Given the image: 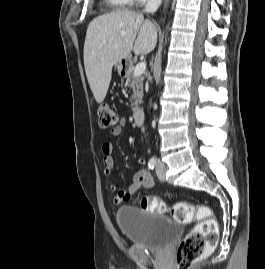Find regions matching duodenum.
Wrapping results in <instances>:
<instances>
[{
	"instance_id": "410a0bca",
	"label": "duodenum",
	"mask_w": 265,
	"mask_h": 269,
	"mask_svg": "<svg viewBox=\"0 0 265 269\" xmlns=\"http://www.w3.org/2000/svg\"><path fill=\"white\" fill-rule=\"evenodd\" d=\"M145 118V111L143 109H136L133 113V119L136 124H143Z\"/></svg>"
}]
</instances>
